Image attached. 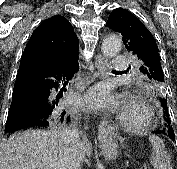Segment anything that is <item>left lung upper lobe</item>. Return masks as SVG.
<instances>
[{"label": "left lung upper lobe", "mask_w": 177, "mask_h": 169, "mask_svg": "<svg viewBox=\"0 0 177 169\" xmlns=\"http://www.w3.org/2000/svg\"><path fill=\"white\" fill-rule=\"evenodd\" d=\"M106 26L122 35L126 49L141 63L139 72L145 78L146 83L155 94L161 93L165 80L158 46L151 32L132 13L122 8L112 11ZM161 106L166 117L163 129L171 128V132L174 133L165 99L161 101Z\"/></svg>", "instance_id": "left-lung-upper-lobe-1"}]
</instances>
